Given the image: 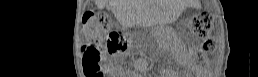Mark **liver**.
<instances>
[{
    "mask_svg": "<svg viewBox=\"0 0 258 77\" xmlns=\"http://www.w3.org/2000/svg\"><path fill=\"white\" fill-rule=\"evenodd\" d=\"M107 0H95L98 8H103ZM109 5L124 26H132L135 22L139 20V13L141 8H139L138 3L134 0H109Z\"/></svg>",
    "mask_w": 258,
    "mask_h": 77,
    "instance_id": "obj_1",
    "label": "liver"
}]
</instances>
